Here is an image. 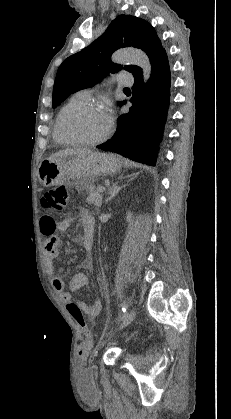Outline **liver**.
Wrapping results in <instances>:
<instances>
[{"mask_svg": "<svg viewBox=\"0 0 231 419\" xmlns=\"http://www.w3.org/2000/svg\"><path fill=\"white\" fill-rule=\"evenodd\" d=\"M92 150L88 149H65L55 154H52L49 158H59V157H67V156H81L92 153Z\"/></svg>", "mask_w": 231, "mask_h": 419, "instance_id": "obj_1", "label": "liver"}]
</instances>
